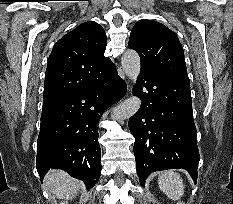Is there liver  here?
<instances>
[{
	"instance_id": "obj_1",
	"label": "liver",
	"mask_w": 233,
	"mask_h": 204,
	"mask_svg": "<svg viewBox=\"0 0 233 204\" xmlns=\"http://www.w3.org/2000/svg\"><path fill=\"white\" fill-rule=\"evenodd\" d=\"M44 181L48 189L60 199L73 198L79 191V182L61 170H51Z\"/></svg>"
}]
</instances>
